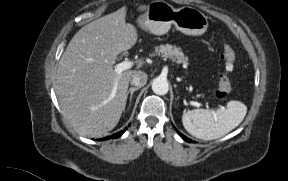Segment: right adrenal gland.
I'll list each match as a JSON object with an SVG mask.
<instances>
[{
    "label": "right adrenal gland",
    "mask_w": 288,
    "mask_h": 181,
    "mask_svg": "<svg viewBox=\"0 0 288 181\" xmlns=\"http://www.w3.org/2000/svg\"><path fill=\"white\" fill-rule=\"evenodd\" d=\"M139 89V87H131L129 88V90L127 91V97L130 94V103H129V107L131 106V101H132V97H133V93L135 91H137Z\"/></svg>",
    "instance_id": "obj_1"
}]
</instances>
